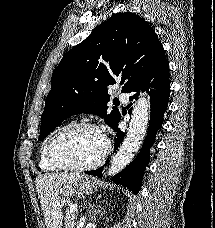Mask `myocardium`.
Returning a JSON list of instances; mask_svg holds the SVG:
<instances>
[{
	"label": "myocardium",
	"mask_w": 215,
	"mask_h": 228,
	"mask_svg": "<svg viewBox=\"0 0 215 228\" xmlns=\"http://www.w3.org/2000/svg\"><path fill=\"white\" fill-rule=\"evenodd\" d=\"M81 128L96 130L102 134L100 127L91 122H86V121L74 122L64 126L51 137L46 147V159L51 167H53L56 170L86 172L100 167L105 162L110 152V144L107 140H105V147L100 157L94 162L89 163L87 165H82V166L66 165V164L60 163L56 159L54 155V150L57 142L61 139V137L70 131H73L75 129H81Z\"/></svg>",
	"instance_id": "f54148a6"
}]
</instances>
